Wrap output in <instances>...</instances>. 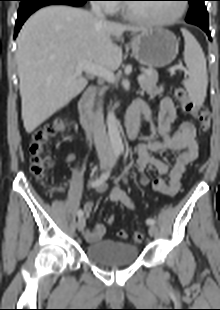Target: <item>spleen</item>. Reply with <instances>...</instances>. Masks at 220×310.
<instances>
[{
	"label": "spleen",
	"instance_id": "spleen-1",
	"mask_svg": "<svg viewBox=\"0 0 220 310\" xmlns=\"http://www.w3.org/2000/svg\"><path fill=\"white\" fill-rule=\"evenodd\" d=\"M185 40L184 61L188 67V79L183 81L190 99L197 105H202L207 92L208 76L206 59L200 44L186 29H182Z\"/></svg>",
	"mask_w": 220,
	"mask_h": 310
}]
</instances>
